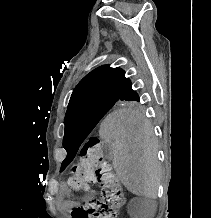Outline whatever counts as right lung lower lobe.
I'll return each mask as SVG.
<instances>
[{
  "mask_svg": "<svg viewBox=\"0 0 211 218\" xmlns=\"http://www.w3.org/2000/svg\"><path fill=\"white\" fill-rule=\"evenodd\" d=\"M122 98H139L137 93L132 90L131 84L127 87V89L124 91Z\"/></svg>",
  "mask_w": 211,
  "mask_h": 218,
  "instance_id": "right-lung-lower-lobe-1",
  "label": "right lung lower lobe"
}]
</instances>
